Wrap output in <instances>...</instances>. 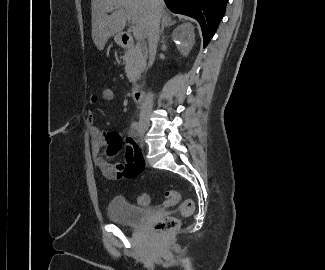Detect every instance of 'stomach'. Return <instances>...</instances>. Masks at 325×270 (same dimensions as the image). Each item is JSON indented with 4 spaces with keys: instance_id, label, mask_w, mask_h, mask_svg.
I'll return each instance as SVG.
<instances>
[{
    "instance_id": "stomach-1",
    "label": "stomach",
    "mask_w": 325,
    "mask_h": 270,
    "mask_svg": "<svg viewBox=\"0 0 325 270\" xmlns=\"http://www.w3.org/2000/svg\"><path fill=\"white\" fill-rule=\"evenodd\" d=\"M115 41L117 42V44L121 45L122 44V40H121V35L118 34L115 36Z\"/></svg>"
}]
</instances>
